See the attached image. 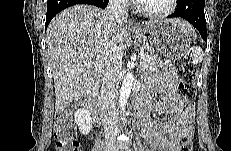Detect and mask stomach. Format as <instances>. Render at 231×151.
<instances>
[{
	"label": "stomach",
	"instance_id": "0dacf381",
	"mask_svg": "<svg viewBox=\"0 0 231 151\" xmlns=\"http://www.w3.org/2000/svg\"><path fill=\"white\" fill-rule=\"evenodd\" d=\"M148 54L166 62L185 56L191 48V38L172 20L154 21L133 32Z\"/></svg>",
	"mask_w": 231,
	"mask_h": 151
}]
</instances>
